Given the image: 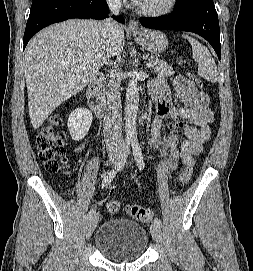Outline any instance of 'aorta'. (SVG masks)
<instances>
[{"label":"aorta","mask_w":253,"mask_h":271,"mask_svg":"<svg viewBox=\"0 0 253 271\" xmlns=\"http://www.w3.org/2000/svg\"><path fill=\"white\" fill-rule=\"evenodd\" d=\"M139 105V86L135 77L129 80L125 100V134L128 141L137 139V112Z\"/></svg>","instance_id":"aorta-1"}]
</instances>
